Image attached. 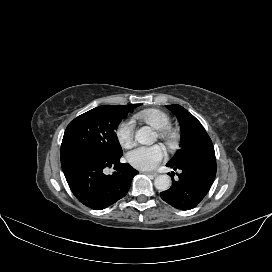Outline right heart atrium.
<instances>
[{
    "label": "right heart atrium",
    "instance_id": "1",
    "mask_svg": "<svg viewBox=\"0 0 272 272\" xmlns=\"http://www.w3.org/2000/svg\"><path fill=\"white\" fill-rule=\"evenodd\" d=\"M135 126L131 120H122L116 128V136L120 145L128 148L134 139Z\"/></svg>",
    "mask_w": 272,
    "mask_h": 272
}]
</instances>
